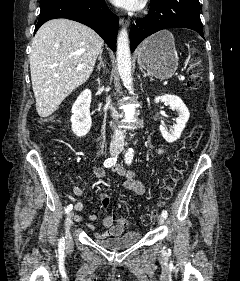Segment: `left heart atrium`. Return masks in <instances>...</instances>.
I'll return each mask as SVG.
<instances>
[{"label":"left heart atrium","instance_id":"left-heart-atrium-1","mask_svg":"<svg viewBox=\"0 0 240 281\" xmlns=\"http://www.w3.org/2000/svg\"><path fill=\"white\" fill-rule=\"evenodd\" d=\"M110 1L115 5L127 10H137L143 4V0H110Z\"/></svg>","mask_w":240,"mask_h":281}]
</instances>
